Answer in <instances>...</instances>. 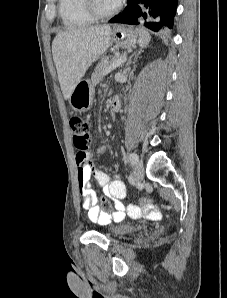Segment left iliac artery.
<instances>
[{
	"label": "left iliac artery",
	"instance_id": "obj_1",
	"mask_svg": "<svg viewBox=\"0 0 227 298\" xmlns=\"http://www.w3.org/2000/svg\"><path fill=\"white\" fill-rule=\"evenodd\" d=\"M129 161L131 163V165H135L138 162V156L136 153H131L129 155Z\"/></svg>",
	"mask_w": 227,
	"mask_h": 298
}]
</instances>
